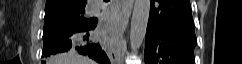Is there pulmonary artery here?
<instances>
[{
  "mask_svg": "<svg viewBox=\"0 0 242 64\" xmlns=\"http://www.w3.org/2000/svg\"><path fill=\"white\" fill-rule=\"evenodd\" d=\"M102 8V5L100 4V2L96 3L94 6H93V10L94 11H98Z\"/></svg>",
  "mask_w": 242,
  "mask_h": 64,
  "instance_id": "pulmonary-artery-1",
  "label": "pulmonary artery"
}]
</instances>
